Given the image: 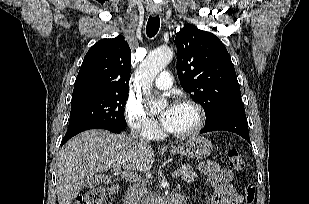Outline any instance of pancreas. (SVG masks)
<instances>
[{
  "mask_svg": "<svg viewBox=\"0 0 309 204\" xmlns=\"http://www.w3.org/2000/svg\"><path fill=\"white\" fill-rule=\"evenodd\" d=\"M177 175L181 176L182 180L186 182H192L195 178L198 177V175L193 171L190 166H187L183 169H178Z\"/></svg>",
  "mask_w": 309,
  "mask_h": 204,
  "instance_id": "1",
  "label": "pancreas"
}]
</instances>
